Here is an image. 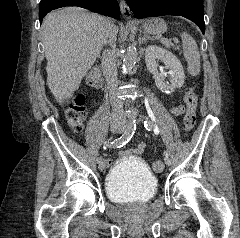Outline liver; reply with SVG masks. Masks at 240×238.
<instances>
[{"mask_svg":"<svg viewBox=\"0 0 240 238\" xmlns=\"http://www.w3.org/2000/svg\"><path fill=\"white\" fill-rule=\"evenodd\" d=\"M98 17L78 7H67L48 14L42 23L47 84L60 105L79 88L103 45L115 46L117 26L111 21L104 31L97 23ZM104 32L106 42L102 39Z\"/></svg>","mask_w":240,"mask_h":238,"instance_id":"1","label":"liver"}]
</instances>
